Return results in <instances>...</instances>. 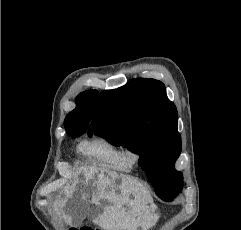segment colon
Wrapping results in <instances>:
<instances>
[{
  "label": "colon",
  "mask_w": 241,
  "mask_h": 230,
  "mask_svg": "<svg viewBox=\"0 0 241 230\" xmlns=\"http://www.w3.org/2000/svg\"><path fill=\"white\" fill-rule=\"evenodd\" d=\"M81 230H94V229L89 228V227H84V228H82Z\"/></svg>",
  "instance_id": "colon-1"
}]
</instances>
